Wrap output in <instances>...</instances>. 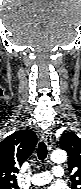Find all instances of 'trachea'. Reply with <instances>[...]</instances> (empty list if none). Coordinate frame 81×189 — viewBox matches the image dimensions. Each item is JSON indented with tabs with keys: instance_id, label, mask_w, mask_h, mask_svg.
I'll return each instance as SVG.
<instances>
[{
	"instance_id": "obj_1",
	"label": "trachea",
	"mask_w": 81,
	"mask_h": 189,
	"mask_svg": "<svg viewBox=\"0 0 81 189\" xmlns=\"http://www.w3.org/2000/svg\"><path fill=\"white\" fill-rule=\"evenodd\" d=\"M37 152L39 160H45V158L47 157V146L43 141L39 143Z\"/></svg>"
}]
</instances>
